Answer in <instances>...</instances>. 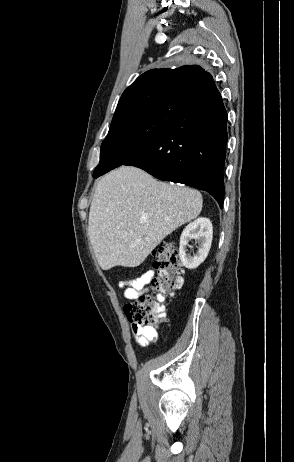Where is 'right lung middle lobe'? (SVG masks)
Instances as JSON below:
<instances>
[{
    "mask_svg": "<svg viewBox=\"0 0 294 462\" xmlns=\"http://www.w3.org/2000/svg\"><path fill=\"white\" fill-rule=\"evenodd\" d=\"M186 105L180 93H170L135 103L115 112L101 145L94 175L123 165L142 145L165 129Z\"/></svg>",
    "mask_w": 294,
    "mask_h": 462,
    "instance_id": "1",
    "label": "right lung middle lobe"
}]
</instances>
